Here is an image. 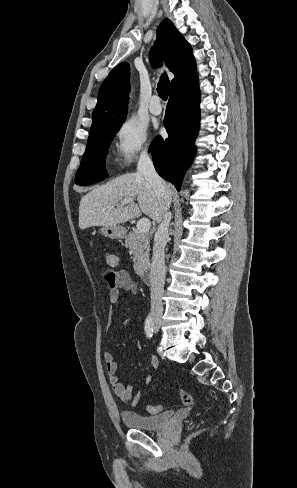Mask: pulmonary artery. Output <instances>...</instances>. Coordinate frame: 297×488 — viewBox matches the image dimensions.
Segmentation results:
<instances>
[{
    "label": "pulmonary artery",
    "instance_id": "pulmonary-artery-1",
    "mask_svg": "<svg viewBox=\"0 0 297 488\" xmlns=\"http://www.w3.org/2000/svg\"><path fill=\"white\" fill-rule=\"evenodd\" d=\"M149 110L153 115H160L162 113V106L160 105V100L157 95H154L151 98Z\"/></svg>",
    "mask_w": 297,
    "mask_h": 488
}]
</instances>
